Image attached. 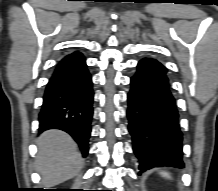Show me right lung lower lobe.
Listing matches in <instances>:
<instances>
[{
	"instance_id": "1",
	"label": "right lung lower lobe",
	"mask_w": 218,
	"mask_h": 191,
	"mask_svg": "<svg viewBox=\"0 0 218 191\" xmlns=\"http://www.w3.org/2000/svg\"><path fill=\"white\" fill-rule=\"evenodd\" d=\"M91 75L84 56L74 52L65 56L46 85L39 113V132L60 129L78 143L83 157L88 154V141L93 116Z\"/></svg>"
}]
</instances>
